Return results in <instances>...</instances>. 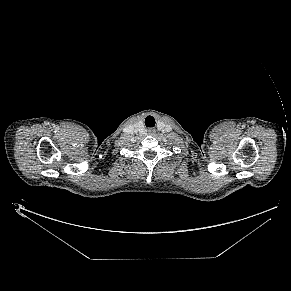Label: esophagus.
Returning <instances> with one entry per match:
<instances>
[{
  "instance_id": "34e87169",
  "label": "esophagus",
  "mask_w": 291,
  "mask_h": 291,
  "mask_svg": "<svg viewBox=\"0 0 291 291\" xmlns=\"http://www.w3.org/2000/svg\"><path fill=\"white\" fill-rule=\"evenodd\" d=\"M149 132H150V133H153V130H152V129H150V130H149Z\"/></svg>"
}]
</instances>
